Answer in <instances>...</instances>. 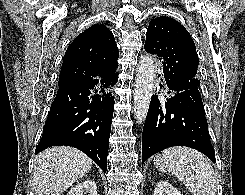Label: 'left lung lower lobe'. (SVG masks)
Masks as SVG:
<instances>
[{"label":"left lung lower lobe","mask_w":245,"mask_h":195,"mask_svg":"<svg viewBox=\"0 0 245 195\" xmlns=\"http://www.w3.org/2000/svg\"><path fill=\"white\" fill-rule=\"evenodd\" d=\"M162 76V82L170 89L168 94H175L165 96L166 102L159 100L157 94L151 98L142 134V162L168 147L187 146L215 163L199 86Z\"/></svg>","instance_id":"1"}]
</instances>
